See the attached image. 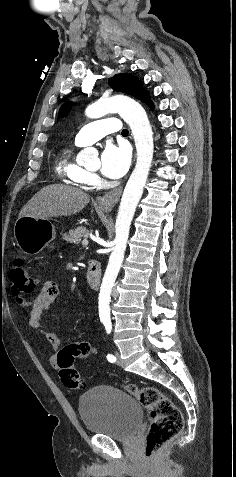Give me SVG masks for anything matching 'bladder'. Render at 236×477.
I'll return each mask as SVG.
<instances>
[{
	"label": "bladder",
	"instance_id": "1",
	"mask_svg": "<svg viewBox=\"0 0 236 477\" xmlns=\"http://www.w3.org/2000/svg\"><path fill=\"white\" fill-rule=\"evenodd\" d=\"M78 410L89 433L117 440L132 439L143 419L141 404L132 395L109 385L85 393Z\"/></svg>",
	"mask_w": 236,
	"mask_h": 477
}]
</instances>
